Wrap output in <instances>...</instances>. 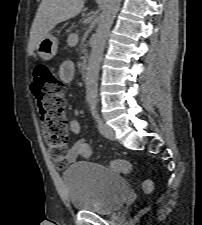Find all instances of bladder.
Instances as JSON below:
<instances>
[{
    "instance_id": "1",
    "label": "bladder",
    "mask_w": 202,
    "mask_h": 225,
    "mask_svg": "<svg viewBox=\"0 0 202 225\" xmlns=\"http://www.w3.org/2000/svg\"><path fill=\"white\" fill-rule=\"evenodd\" d=\"M63 183L74 210L100 215L117 211L130 190L123 175L87 162L71 165L63 173Z\"/></svg>"
}]
</instances>
